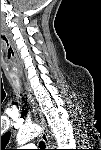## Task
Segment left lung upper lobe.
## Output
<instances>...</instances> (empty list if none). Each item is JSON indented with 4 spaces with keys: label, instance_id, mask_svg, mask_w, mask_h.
I'll return each instance as SVG.
<instances>
[{
    "label": "left lung upper lobe",
    "instance_id": "obj_1",
    "mask_svg": "<svg viewBox=\"0 0 101 150\" xmlns=\"http://www.w3.org/2000/svg\"><path fill=\"white\" fill-rule=\"evenodd\" d=\"M10 139V133L7 132L1 137V148H4Z\"/></svg>",
    "mask_w": 101,
    "mask_h": 150
}]
</instances>
